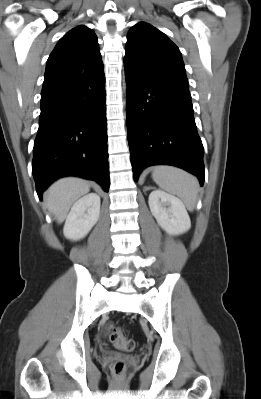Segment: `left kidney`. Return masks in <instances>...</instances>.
<instances>
[{
	"label": "left kidney",
	"instance_id": "left-kidney-1",
	"mask_svg": "<svg viewBox=\"0 0 261 399\" xmlns=\"http://www.w3.org/2000/svg\"><path fill=\"white\" fill-rule=\"evenodd\" d=\"M149 208L158 225L171 235H180L191 228L183 202L164 191L154 190L148 199Z\"/></svg>",
	"mask_w": 261,
	"mask_h": 399
}]
</instances>
